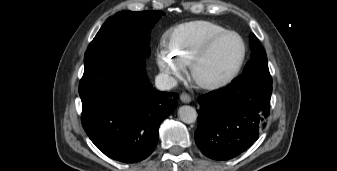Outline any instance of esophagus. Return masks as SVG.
Segmentation results:
<instances>
[{"instance_id": "obj_1", "label": "esophagus", "mask_w": 337, "mask_h": 171, "mask_svg": "<svg viewBox=\"0 0 337 171\" xmlns=\"http://www.w3.org/2000/svg\"><path fill=\"white\" fill-rule=\"evenodd\" d=\"M180 100L183 102V103H190L191 102V97L188 93H181L180 95Z\"/></svg>"}]
</instances>
